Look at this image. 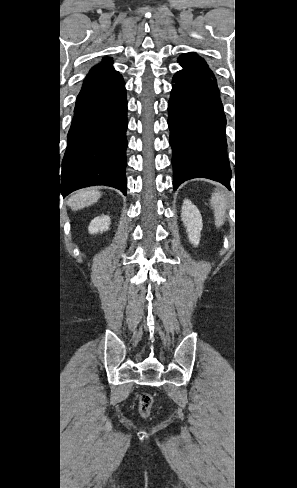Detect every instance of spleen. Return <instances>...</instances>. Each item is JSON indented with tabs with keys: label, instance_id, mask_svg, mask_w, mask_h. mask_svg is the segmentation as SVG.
<instances>
[{
	"label": "spleen",
	"instance_id": "3e777b00",
	"mask_svg": "<svg viewBox=\"0 0 297 488\" xmlns=\"http://www.w3.org/2000/svg\"><path fill=\"white\" fill-rule=\"evenodd\" d=\"M211 205L215 211V222L219 226L224 219L226 209L224 196L220 193H214L211 198Z\"/></svg>",
	"mask_w": 297,
	"mask_h": 488
}]
</instances>
